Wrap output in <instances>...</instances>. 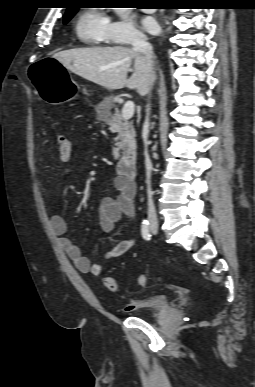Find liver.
<instances>
[{"instance_id": "1", "label": "liver", "mask_w": 255, "mask_h": 387, "mask_svg": "<svg viewBox=\"0 0 255 387\" xmlns=\"http://www.w3.org/2000/svg\"><path fill=\"white\" fill-rule=\"evenodd\" d=\"M53 58L73 73L108 90L127 87L139 92L147 84L144 57L133 48H78L58 52ZM130 71L133 73L128 78Z\"/></svg>"}]
</instances>
